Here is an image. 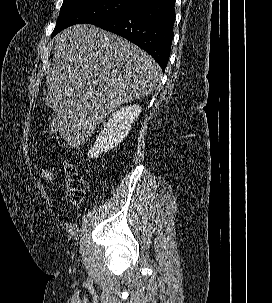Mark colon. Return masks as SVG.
Wrapping results in <instances>:
<instances>
[{
  "instance_id": "colon-1",
  "label": "colon",
  "mask_w": 272,
  "mask_h": 303,
  "mask_svg": "<svg viewBox=\"0 0 272 303\" xmlns=\"http://www.w3.org/2000/svg\"><path fill=\"white\" fill-rule=\"evenodd\" d=\"M49 134L52 137H59L60 135V126L59 119L53 117L49 121L48 126ZM64 172H65V194L67 200L74 204L78 205L82 202L84 198V181L78 171L77 167L70 161L64 163ZM37 174L41 180L45 182L52 181L54 179V171L48 165H39L37 167Z\"/></svg>"
}]
</instances>
